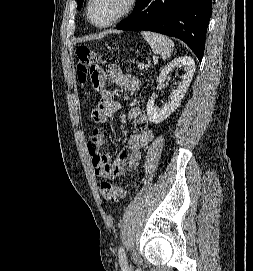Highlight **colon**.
I'll use <instances>...</instances> for the list:
<instances>
[{
  "mask_svg": "<svg viewBox=\"0 0 253 271\" xmlns=\"http://www.w3.org/2000/svg\"><path fill=\"white\" fill-rule=\"evenodd\" d=\"M76 72L81 83L90 80L95 89L99 86L98 69L103 63L99 54L86 46H80L76 50ZM99 191L106 201H116L124 197L125 189L121 185H115L109 181L99 184Z\"/></svg>",
  "mask_w": 253,
  "mask_h": 271,
  "instance_id": "5ec220e1",
  "label": "colon"
}]
</instances>
